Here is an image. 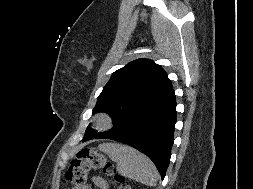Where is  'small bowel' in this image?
Segmentation results:
<instances>
[{
  "instance_id": "c3829d8e",
  "label": "small bowel",
  "mask_w": 253,
  "mask_h": 189,
  "mask_svg": "<svg viewBox=\"0 0 253 189\" xmlns=\"http://www.w3.org/2000/svg\"><path fill=\"white\" fill-rule=\"evenodd\" d=\"M93 183L100 189H107L108 188V184L107 182L103 179V178H100V177H95L93 179Z\"/></svg>"
}]
</instances>
